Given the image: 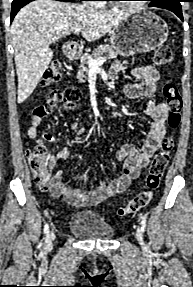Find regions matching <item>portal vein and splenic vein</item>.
Masks as SVG:
<instances>
[{
    "mask_svg": "<svg viewBox=\"0 0 193 287\" xmlns=\"http://www.w3.org/2000/svg\"><path fill=\"white\" fill-rule=\"evenodd\" d=\"M81 29H82L81 27L76 28L74 33L78 34L81 31ZM105 61H106V57H102L98 60H94L92 58H89V67L91 69H98L99 66H101Z\"/></svg>",
    "mask_w": 193,
    "mask_h": 287,
    "instance_id": "obj_1",
    "label": "portal vein and splenic vein"
}]
</instances>
